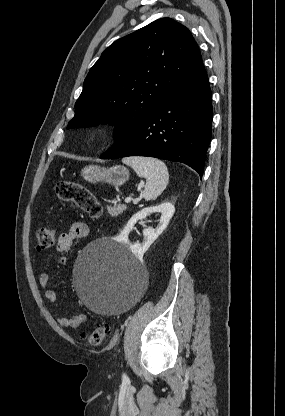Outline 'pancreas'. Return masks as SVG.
I'll return each mask as SVG.
<instances>
[{
  "mask_svg": "<svg viewBox=\"0 0 285 416\" xmlns=\"http://www.w3.org/2000/svg\"><path fill=\"white\" fill-rule=\"evenodd\" d=\"M106 208L112 218H116L119 214H123L124 210H127V206H122V204H113V206H106Z\"/></svg>",
  "mask_w": 285,
  "mask_h": 416,
  "instance_id": "pancreas-1",
  "label": "pancreas"
}]
</instances>
